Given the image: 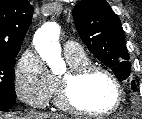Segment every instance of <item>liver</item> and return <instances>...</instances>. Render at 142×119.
<instances>
[{
	"instance_id": "6515ba94",
	"label": "liver",
	"mask_w": 142,
	"mask_h": 119,
	"mask_svg": "<svg viewBox=\"0 0 142 119\" xmlns=\"http://www.w3.org/2000/svg\"><path fill=\"white\" fill-rule=\"evenodd\" d=\"M64 116L51 115L47 113H28L25 115L0 114V119H65Z\"/></svg>"
}]
</instances>
